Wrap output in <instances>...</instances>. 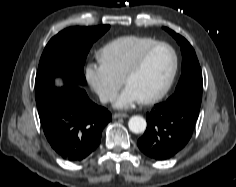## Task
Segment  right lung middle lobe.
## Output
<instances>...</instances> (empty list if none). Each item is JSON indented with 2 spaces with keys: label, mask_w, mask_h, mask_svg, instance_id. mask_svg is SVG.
<instances>
[{
  "label": "right lung middle lobe",
  "mask_w": 236,
  "mask_h": 187,
  "mask_svg": "<svg viewBox=\"0 0 236 187\" xmlns=\"http://www.w3.org/2000/svg\"><path fill=\"white\" fill-rule=\"evenodd\" d=\"M109 28L110 25L70 27L59 32L48 42L36 74V102L54 88L55 77H62L65 86L85 85L83 66L86 56L92 44Z\"/></svg>",
  "instance_id": "1"
}]
</instances>
